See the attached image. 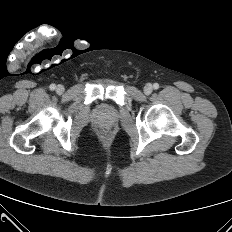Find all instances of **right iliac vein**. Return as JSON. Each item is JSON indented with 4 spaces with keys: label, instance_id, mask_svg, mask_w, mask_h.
Returning <instances> with one entry per match:
<instances>
[{
    "label": "right iliac vein",
    "instance_id": "1",
    "mask_svg": "<svg viewBox=\"0 0 232 232\" xmlns=\"http://www.w3.org/2000/svg\"><path fill=\"white\" fill-rule=\"evenodd\" d=\"M64 90H65V88H64L63 85H58V86L56 87V92H57L58 94H62V93L64 92Z\"/></svg>",
    "mask_w": 232,
    "mask_h": 232
}]
</instances>
